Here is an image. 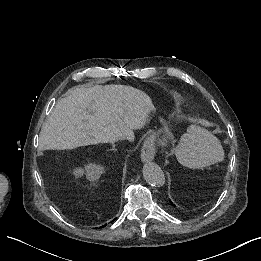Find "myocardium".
<instances>
[{
    "mask_svg": "<svg viewBox=\"0 0 261 261\" xmlns=\"http://www.w3.org/2000/svg\"><path fill=\"white\" fill-rule=\"evenodd\" d=\"M161 116L160 127L155 126L153 121L148 123L145 138L149 144H154L157 154L173 155L182 145L187 121L182 115ZM160 136H163L162 140H158Z\"/></svg>",
    "mask_w": 261,
    "mask_h": 261,
    "instance_id": "myocardium-1",
    "label": "myocardium"
}]
</instances>
